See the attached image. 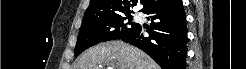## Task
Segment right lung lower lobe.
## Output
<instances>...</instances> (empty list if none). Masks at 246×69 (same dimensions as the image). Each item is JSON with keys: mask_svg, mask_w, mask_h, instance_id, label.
<instances>
[{"mask_svg": "<svg viewBox=\"0 0 246 69\" xmlns=\"http://www.w3.org/2000/svg\"><path fill=\"white\" fill-rule=\"evenodd\" d=\"M149 28L138 25L120 39L146 52L162 69H185L186 15L181 0H164L143 11ZM147 32L149 36H144Z\"/></svg>", "mask_w": 246, "mask_h": 69, "instance_id": "right-lung-lower-lobe-1", "label": "right lung lower lobe"}]
</instances>
